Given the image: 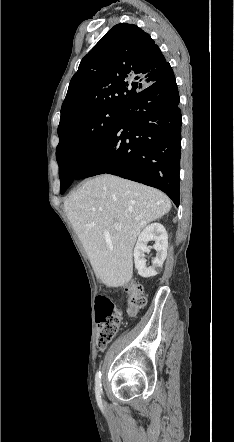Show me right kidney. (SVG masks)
Instances as JSON below:
<instances>
[{
    "label": "right kidney",
    "mask_w": 234,
    "mask_h": 442,
    "mask_svg": "<svg viewBox=\"0 0 234 442\" xmlns=\"http://www.w3.org/2000/svg\"><path fill=\"white\" fill-rule=\"evenodd\" d=\"M155 241L153 249L156 256L152 259L151 266L146 264L145 253L150 252L147 246L149 241ZM168 248V234L164 226L160 223H152L145 227L138 237L134 248V263L138 274L144 278L153 277L158 274V269L162 267Z\"/></svg>",
    "instance_id": "1"
}]
</instances>
